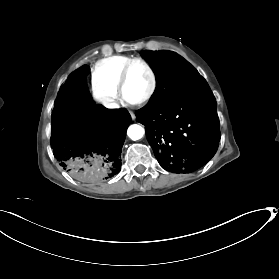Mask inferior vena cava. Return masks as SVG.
<instances>
[{"label": "inferior vena cava", "mask_w": 279, "mask_h": 279, "mask_svg": "<svg viewBox=\"0 0 279 279\" xmlns=\"http://www.w3.org/2000/svg\"><path fill=\"white\" fill-rule=\"evenodd\" d=\"M104 106L107 108H119V105L111 98L105 100Z\"/></svg>", "instance_id": "1"}]
</instances>
